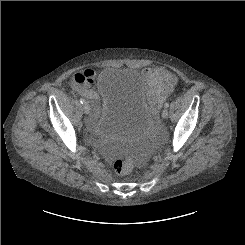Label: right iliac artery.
I'll list each match as a JSON object with an SVG mask.
<instances>
[{"instance_id":"obj_1","label":"right iliac artery","mask_w":245,"mask_h":245,"mask_svg":"<svg viewBox=\"0 0 245 245\" xmlns=\"http://www.w3.org/2000/svg\"><path fill=\"white\" fill-rule=\"evenodd\" d=\"M80 103H81V104H85L86 102H85V100H84L83 98H81V99H80Z\"/></svg>"}]
</instances>
